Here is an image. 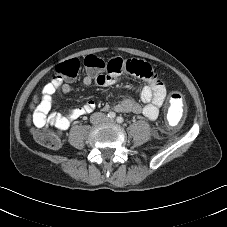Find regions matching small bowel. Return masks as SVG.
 <instances>
[{"mask_svg": "<svg viewBox=\"0 0 227 227\" xmlns=\"http://www.w3.org/2000/svg\"><path fill=\"white\" fill-rule=\"evenodd\" d=\"M142 63H146L141 61ZM116 67L118 70L125 69L128 62L122 59H116ZM152 76L144 77L147 84L140 90V99L143 105L133 100H123L114 106L120 112L142 113L150 120H155L159 115V109L166 98V88L164 83L158 78L157 74L152 70ZM117 72L109 69L108 74H96L86 76L83 79V84L86 86H111L117 80ZM61 92L68 94L70 86L67 83L61 85ZM53 92L45 89L42 102L36 107L32 117V124L35 127L42 128L45 126H55L60 130H65L70 126V123L76 118L91 113L96 108L94 100H88L82 107L67 109L63 112H50L53 101Z\"/></svg>", "mask_w": 227, "mask_h": 227, "instance_id": "c3829d8e", "label": "small bowel"}]
</instances>
